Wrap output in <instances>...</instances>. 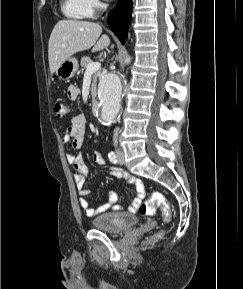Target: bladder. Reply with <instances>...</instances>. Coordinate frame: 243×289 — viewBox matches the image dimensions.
Wrapping results in <instances>:
<instances>
[{
    "instance_id": "1",
    "label": "bladder",
    "mask_w": 243,
    "mask_h": 289,
    "mask_svg": "<svg viewBox=\"0 0 243 289\" xmlns=\"http://www.w3.org/2000/svg\"><path fill=\"white\" fill-rule=\"evenodd\" d=\"M138 224L136 215L126 212H106L97 215L92 220V225L101 231L120 233L127 231Z\"/></svg>"
}]
</instances>
